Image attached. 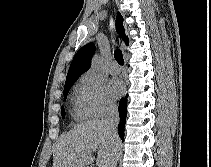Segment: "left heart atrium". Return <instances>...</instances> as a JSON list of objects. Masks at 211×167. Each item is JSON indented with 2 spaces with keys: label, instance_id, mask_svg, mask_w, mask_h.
Wrapping results in <instances>:
<instances>
[{
  "label": "left heart atrium",
  "instance_id": "39dd6f15",
  "mask_svg": "<svg viewBox=\"0 0 211 167\" xmlns=\"http://www.w3.org/2000/svg\"><path fill=\"white\" fill-rule=\"evenodd\" d=\"M107 91L113 97H119L124 91V85L118 78H112L107 82Z\"/></svg>",
  "mask_w": 211,
  "mask_h": 167
}]
</instances>
